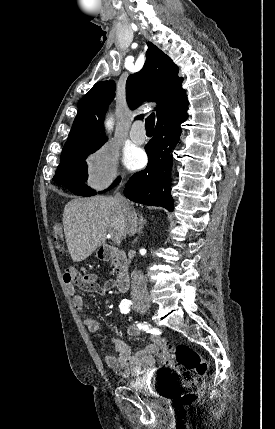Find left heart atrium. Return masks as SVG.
Masks as SVG:
<instances>
[{
	"label": "left heart atrium",
	"instance_id": "1",
	"mask_svg": "<svg viewBox=\"0 0 275 429\" xmlns=\"http://www.w3.org/2000/svg\"><path fill=\"white\" fill-rule=\"evenodd\" d=\"M126 165L131 169L141 167L145 162V155L141 150L133 149L126 153Z\"/></svg>",
	"mask_w": 275,
	"mask_h": 429
}]
</instances>
